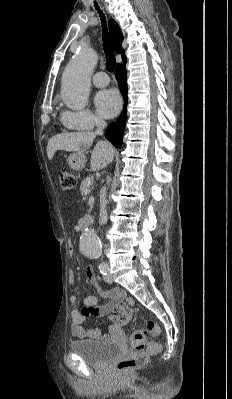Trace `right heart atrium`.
I'll return each mask as SVG.
<instances>
[{"label":"right heart atrium","mask_w":232,"mask_h":399,"mask_svg":"<svg viewBox=\"0 0 232 399\" xmlns=\"http://www.w3.org/2000/svg\"><path fill=\"white\" fill-rule=\"evenodd\" d=\"M82 104V103H67ZM62 121L65 125L73 126L81 130H90L94 122H99V118L90 110H82L79 112L65 110L62 112Z\"/></svg>","instance_id":"obj_1"}]
</instances>
